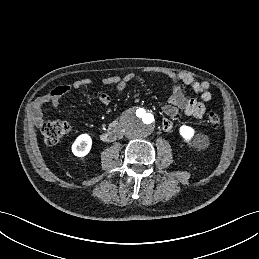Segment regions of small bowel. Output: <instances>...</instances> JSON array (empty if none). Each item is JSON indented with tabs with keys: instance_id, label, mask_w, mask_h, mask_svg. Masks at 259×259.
<instances>
[{
	"instance_id": "obj_1",
	"label": "small bowel",
	"mask_w": 259,
	"mask_h": 259,
	"mask_svg": "<svg viewBox=\"0 0 259 259\" xmlns=\"http://www.w3.org/2000/svg\"><path fill=\"white\" fill-rule=\"evenodd\" d=\"M153 74H165L170 79L171 93L168 103L163 106V113L166 115L161 122L163 131H170L173 128L171 118L175 117L179 110H182L187 116L200 119L206 112L205 104L212 98L210 84L208 81H198L189 73H173L169 71L155 70ZM134 79L133 73H127L122 76H110L102 80L104 85H114L118 93ZM93 82L91 78H82L76 80L72 85H60L52 89L48 94L37 98L31 107V116L36 126H42L44 122V108L46 106L58 107L61 98L68 94L73 88L79 89L90 85ZM191 87L196 93L200 94V100L186 97L182 86ZM98 100L103 105H108L111 97L107 93H100Z\"/></svg>"
}]
</instances>
